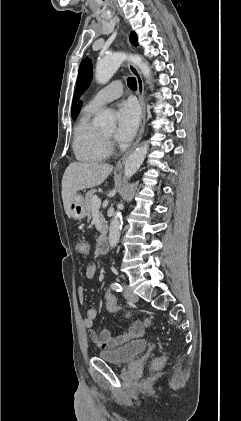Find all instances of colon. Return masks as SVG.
Listing matches in <instances>:
<instances>
[{"label": "colon", "instance_id": "obj_1", "mask_svg": "<svg viewBox=\"0 0 241 421\" xmlns=\"http://www.w3.org/2000/svg\"><path fill=\"white\" fill-rule=\"evenodd\" d=\"M76 251L81 255H87L90 251V245L87 241H78L76 244ZM105 302H106V308L111 313H117L123 311L122 307L118 303L115 295L107 290L105 293ZM127 317H130L131 315L129 313H126ZM145 325L149 324L148 319H143L142 321ZM162 362V359L159 358L155 361V364L158 365Z\"/></svg>", "mask_w": 241, "mask_h": 421}]
</instances>
